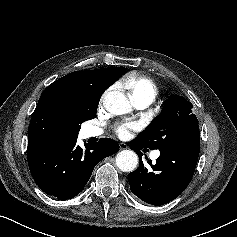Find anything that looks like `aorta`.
Returning <instances> with one entry per match:
<instances>
[{
  "mask_svg": "<svg viewBox=\"0 0 237 237\" xmlns=\"http://www.w3.org/2000/svg\"><path fill=\"white\" fill-rule=\"evenodd\" d=\"M105 109L114 115H123L131 111L128 98L119 91H111L103 100ZM116 165L124 172L135 170L138 165V156L132 150H122L116 155Z\"/></svg>",
  "mask_w": 237,
  "mask_h": 237,
  "instance_id": "762f6f07",
  "label": "aorta"
}]
</instances>
